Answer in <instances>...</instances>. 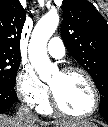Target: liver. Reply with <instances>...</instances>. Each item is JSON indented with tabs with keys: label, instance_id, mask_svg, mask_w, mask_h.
I'll return each instance as SVG.
<instances>
[{
	"label": "liver",
	"instance_id": "1",
	"mask_svg": "<svg viewBox=\"0 0 108 127\" xmlns=\"http://www.w3.org/2000/svg\"><path fill=\"white\" fill-rule=\"evenodd\" d=\"M92 123L86 120H60L54 122H44L38 118H33L31 114H16L7 116L0 114V127H81L88 126Z\"/></svg>",
	"mask_w": 108,
	"mask_h": 127
}]
</instances>
